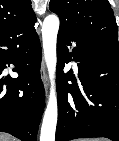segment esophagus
<instances>
[{
    "label": "esophagus",
    "mask_w": 119,
    "mask_h": 141,
    "mask_svg": "<svg viewBox=\"0 0 119 141\" xmlns=\"http://www.w3.org/2000/svg\"><path fill=\"white\" fill-rule=\"evenodd\" d=\"M41 79L43 81V84L45 86V89L47 90V87H48V78H47L46 66H45L44 61L41 64Z\"/></svg>",
    "instance_id": "34e87169"
}]
</instances>
